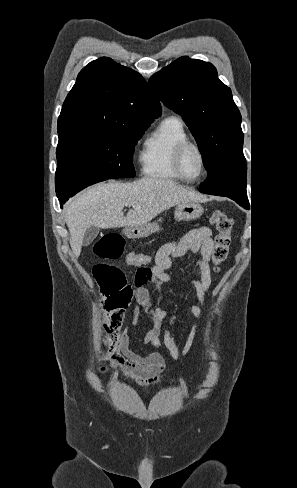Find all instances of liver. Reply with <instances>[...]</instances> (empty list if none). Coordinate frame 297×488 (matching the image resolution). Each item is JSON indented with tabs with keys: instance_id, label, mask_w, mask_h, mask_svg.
Wrapping results in <instances>:
<instances>
[{
	"instance_id": "1",
	"label": "liver",
	"mask_w": 297,
	"mask_h": 488,
	"mask_svg": "<svg viewBox=\"0 0 297 488\" xmlns=\"http://www.w3.org/2000/svg\"><path fill=\"white\" fill-rule=\"evenodd\" d=\"M204 197L174 181L145 177L132 183L109 181L94 185L72 198L66 207L70 246L79 257L86 230L139 226L179 203ZM136 206L124 216L123 208Z\"/></svg>"
}]
</instances>
